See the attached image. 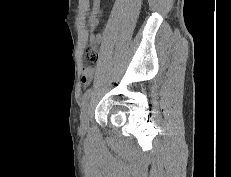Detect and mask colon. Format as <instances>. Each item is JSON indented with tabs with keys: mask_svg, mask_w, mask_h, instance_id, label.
I'll return each instance as SVG.
<instances>
[{
	"mask_svg": "<svg viewBox=\"0 0 231 177\" xmlns=\"http://www.w3.org/2000/svg\"><path fill=\"white\" fill-rule=\"evenodd\" d=\"M98 60V52L93 46H89L85 50V61L88 64H94Z\"/></svg>",
	"mask_w": 231,
	"mask_h": 177,
	"instance_id": "1",
	"label": "colon"
}]
</instances>
